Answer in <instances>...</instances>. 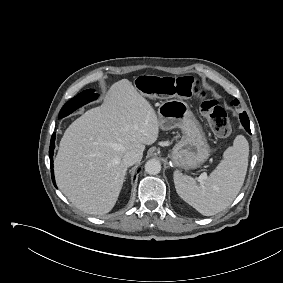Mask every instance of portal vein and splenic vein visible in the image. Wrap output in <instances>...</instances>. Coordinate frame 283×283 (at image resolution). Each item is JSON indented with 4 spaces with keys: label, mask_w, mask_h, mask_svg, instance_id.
Instances as JSON below:
<instances>
[{
    "label": "portal vein and splenic vein",
    "mask_w": 283,
    "mask_h": 283,
    "mask_svg": "<svg viewBox=\"0 0 283 283\" xmlns=\"http://www.w3.org/2000/svg\"><path fill=\"white\" fill-rule=\"evenodd\" d=\"M205 174H202L200 177H199V179H200V181H203V179L205 178Z\"/></svg>",
    "instance_id": "1"
}]
</instances>
